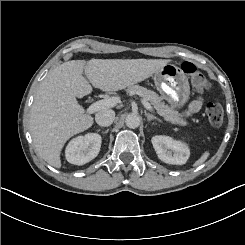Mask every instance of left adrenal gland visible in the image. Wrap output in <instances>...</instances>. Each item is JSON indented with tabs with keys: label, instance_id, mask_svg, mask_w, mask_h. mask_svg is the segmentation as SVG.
Here are the masks:
<instances>
[{
	"label": "left adrenal gland",
	"instance_id": "1",
	"mask_svg": "<svg viewBox=\"0 0 245 245\" xmlns=\"http://www.w3.org/2000/svg\"><path fill=\"white\" fill-rule=\"evenodd\" d=\"M145 116L147 117V120L148 121H151V120H154L155 119V120L161 122V120L159 118H157L156 116H154V115H152L150 113H147L146 111H145Z\"/></svg>",
	"mask_w": 245,
	"mask_h": 245
}]
</instances>
